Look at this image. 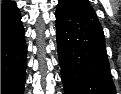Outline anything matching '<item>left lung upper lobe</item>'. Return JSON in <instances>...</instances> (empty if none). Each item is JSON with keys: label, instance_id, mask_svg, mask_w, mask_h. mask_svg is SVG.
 I'll use <instances>...</instances> for the list:
<instances>
[{"label": "left lung upper lobe", "instance_id": "obj_1", "mask_svg": "<svg viewBox=\"0 0 121 94\" xmlns=\"http://www.w3.org/2000/svg\"><path fill=\"white\" fill-rule=\"evenodd\" d=\"M59 3L79 16L98 20L88 0H59Z\"/></svg>", "mask_w": 121, "mask_h": 94}]
</instances>
